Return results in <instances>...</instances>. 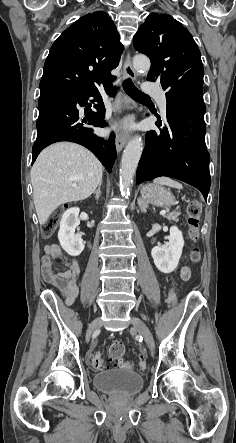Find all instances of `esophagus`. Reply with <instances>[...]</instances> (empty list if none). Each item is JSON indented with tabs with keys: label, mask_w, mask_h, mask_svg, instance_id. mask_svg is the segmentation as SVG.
I'll list each match as a JSON object with an SVG mask.
<instances>
[{
	"label": "esophagus",
	"mask_w": 236,
	"mask_h": 443,
	"mask_svg": "<svg viewBox=\"0 0 236 443\" xmlns=\"http://www.w3.org/2000/svg\"><path fill=\"white\" fill-rule=\"evenodd\" d=\"M123 70H124V73L127 77H129L133 80L136 78V73L131 65V60H130L129 54L127 55V57L124 61ZM129 137L130 136L128 134H122V133H118L116 135L115 144H116V150L118 153L122 150V148L128 142Z\"/></svg>",
	"instance_id": "1"
}]
</instances>
